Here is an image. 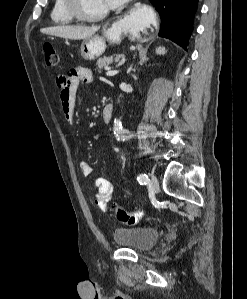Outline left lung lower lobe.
Returning a JSON list of instances; mask_svg holds the SVG:
<instances>
[{
  "label": "left lung lower lobe",
  "instance_id": "obj_1",
  "mask_svg": "<svg viewBox=\"0 0 247 299\" xmlns=\"http://www.w3.org/2000/svg\"><path fill=\"white\" fill-rule=\"evenodd\" d=\"M150 1L161 17L159 36L169 38L187 50L198 0Z\"/></svg>",
  "mask_w": 247,
  "mask_h": 299
}]
</instances>
